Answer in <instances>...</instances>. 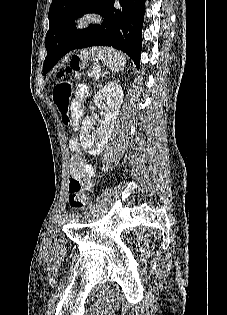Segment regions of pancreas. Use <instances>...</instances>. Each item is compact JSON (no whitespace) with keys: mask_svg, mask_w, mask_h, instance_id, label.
<instances>
[{"mask_svg":"<svg viewBox=\"0 0 227 315\" xmlns=\"http://www.w3.org/2000/svg\"><path fill=\"white\" fill-rule=\"evenodd\" d=\"M96 68H97V67H94L93 70H92V74H93V75H96V72H97V69H96Z\"/></svg>","mask_w":227,"mask_h":315,"instance_id":"cf45deb5","label":"pancreas"}]
</instances>
